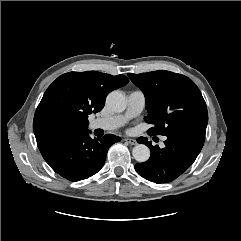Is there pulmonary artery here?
<instances>
[{
	"mask_svg": "<svg viewBox=\"0 0 241 241\" xmlns=\"http://www.w3.org/2000/svg\"><path fill=\"white\" fill-rule=\"evenodd\" d=\"M145 106V95L142 91L136 90L129 93L127 98V108L123 114L96 118L90 122V128L102 130H115L123 126L128 120L139 115Z\"/></svg>",
	"mask_w": 241,
	"mask_h": 241,
	"instance_id": "pulmonary-artery-1",
	"label": "pulmonary artery"
}]
</instances>
